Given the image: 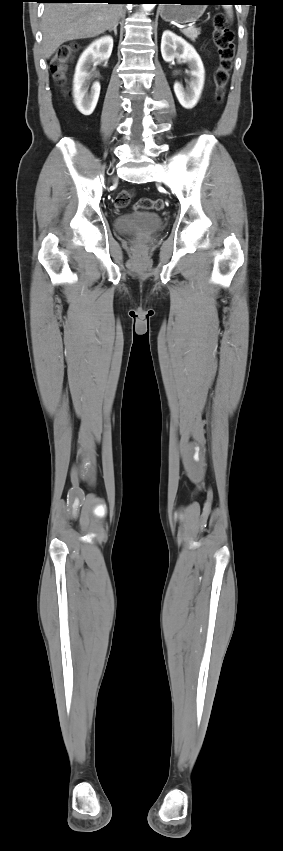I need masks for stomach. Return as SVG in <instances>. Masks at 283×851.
<instances>
[{"label":"stomach","instance_id":"obj_1","mask_svg":"<svg viewBox=\"0 0 283 851\" xmlns=\"http://www.w3.org/2000/svg\"><path fill=\"white\" fill-rule=\"evenodd\" d=\"M207 0H169L159 8V14L165 21L186 24L197 21L206 9Z\"/></svg>","mask_w":283,"mask_h":851}]
</instances>
